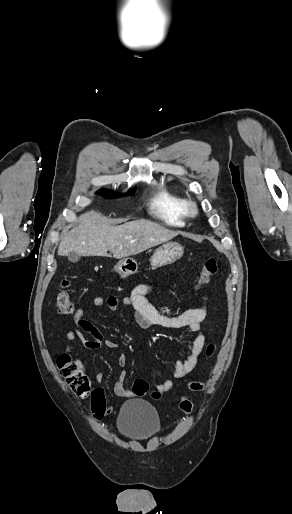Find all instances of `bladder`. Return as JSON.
<instances>
[{
	"instance_id": "bladder-1",
	"label": "bladder",
	"mask_w": 292,
	"mask_h": 514,
	"mask_svg": "<svg viewBox=\"0 0 292 514\" xmlns=\"http://www.w3.org/2000/svg\"><path fill=\"white\" fill-rule=\"evenodd\" d=\"M117 429L129 440H144L158 434L161 422L156 409L143 400H129L121 408Z\"/></svg>"
}]
</instances>
